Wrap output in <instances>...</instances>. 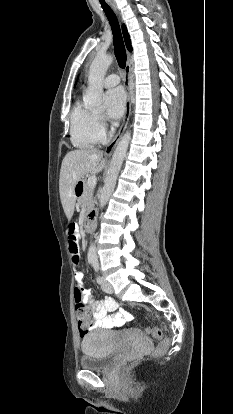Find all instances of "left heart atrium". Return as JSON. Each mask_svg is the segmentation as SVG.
Listing matches in <instances>:
<instances>
[{
  "label": "left heart atrium",
  "instance_id": "39dd6f15",
  "mask_svg": "<svg viewBox=\"0 0 233 414\" xmlns=\"http://www.w3.org/2000/svg\"><path fill=\"white\" fill-rule=\"evenodd\" d=\"M106 113L110 119H118L125 110V93L122 88L109 89L104 95Z\"/></svg>",
  "mask_w": 233,
  "mask_h": 414
}]
</instances>
